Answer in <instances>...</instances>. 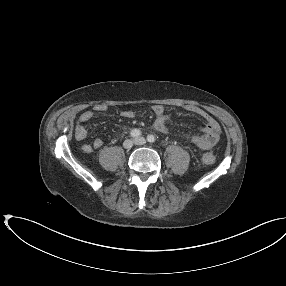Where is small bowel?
Segmentation results:
<instances>
[{
  "instance_id": "obj_1",
  "label": "small bowel",
  "mask_w": 286,
  "mask_h": 286,
  "mask_svg": "<svg viewBox=\"0 0 286 286\" xmlns=\"http://www.w3.org/2000/svg\"><path fill=\"white\" fill-rule=\"evenodd\" d=\"M105 106L97 105L94 110L96 112L105 111ZM186 110L199 115L205 120V126L200 134H185V138L201 149H210L216 145L220 138L221 128L218 122L208 114L204 109L188 105ZM152 111L156 118L153 123V127L156 131L164 134H170L171 130L168 127L169 117L165 114V108L161 104H155L152 106ZM123 118L131 119L134 117V112L131 110H123L121 112ZM94 117L93 110L83 111L74 125L73 134L76 140L82 141L87 137V129L85 124L89 122ZM103 146V140L101 138H96L92 143L83 144L81 146V151L83 153H91L94 150H98Z\"/></svg>"
}]
</instances>
